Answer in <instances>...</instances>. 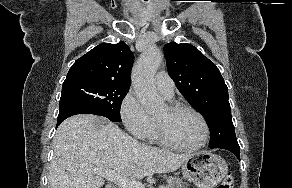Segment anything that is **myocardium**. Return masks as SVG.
Wrapping results in <instances>:
<instances>
[{"label":"myocardium","mask_w":292,"mask_h":188,"mask_svg":"<svg viewBox=\"0 0 292 188\" xmlns=\"http://www.w3.org/2000/svg\"><path fill=\"white\" fill-rule=\"evenodd\" d=\"M167 108L171 113L187 111V112H191L194 115H196L200 119V121L203 125L204 136H203V139L196 145H193V146L181 145V144L175 142L168 135L165 127L158 120L155 119V130H156L157 138L162 144H164L165 146L170 147L172 149H176V150H180V151H187V152L200 150L207 145V143L209 142V139H210V126H209L207 119L200 111H198L197 109H195L189 105L182 104V103H173V104L168 105Z\"/></svg>","instance_id":"1"}]
</instances>
